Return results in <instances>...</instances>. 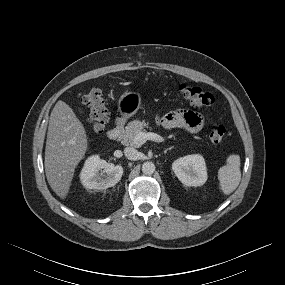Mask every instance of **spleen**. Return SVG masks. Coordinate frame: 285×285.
Instances as JSON below:
<instances>
[{
  "label": "spleen",
  "instance_id": "spleen-1",
  "mask_svg": "<svg viewBox=\"0 0 285 285\" xmlns=\"http://www.w3.org/2000/svg\"><path fill=\"white\" fill-rule=\"evenodd\" d=\"M219 186L225 195L231 194L239 185L241 180L240 157L229 155L226 165L218 171Z\"/></svg>",
  "mask_w": 285,
  "mask_h": 285
}]
</instances>
